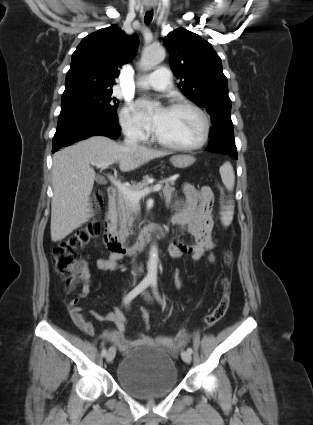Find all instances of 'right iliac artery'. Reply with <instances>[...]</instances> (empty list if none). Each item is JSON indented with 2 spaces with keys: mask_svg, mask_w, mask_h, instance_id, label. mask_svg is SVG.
<instances>
[{
  "mask_svg": "<svg viewBox=\"0 0 313 425\" xmlns=\"http://www.w3.org/2000/svg\"><path fill=\"white\" fill-rule=\"evenodd\" d=\"M151 284V280L148 278L143 279L131 292L127 294L124 298V304L130 303L137 295H139L144 289H146ZM107 350L102 349L101 355L106 356Z\"/></svg>",
  "mask_w": 313,
  "mask_h": 425,
  "instance_id": "right-iliac-artery-1",
  "label": "right iliac artery"
}]
</instances>
